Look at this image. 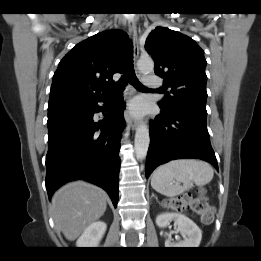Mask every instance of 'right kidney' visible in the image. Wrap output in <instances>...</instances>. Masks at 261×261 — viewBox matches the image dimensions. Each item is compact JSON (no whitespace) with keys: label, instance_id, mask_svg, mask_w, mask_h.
Listing matches in <instances>:
<instances>
[{"label":"right kidney","instance_id":"right-kidney-1","mask_svg":"<svg viewBox=\"0 0 261 261\" xmlns=\"http://www.w3.org/2000/svg\"><path fill=\"white\" fill-rule=\"evenodd\" d=\"M107 225L105 222L97 221L90 224L77 240V247L93 248L97 247L101 241Z\"/></svg>","mask_w":261,"mask_h":261}]
</instances>
